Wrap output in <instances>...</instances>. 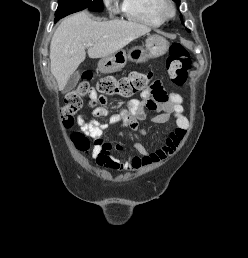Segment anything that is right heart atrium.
Segmentation results:
<instances>
[{
    "instance_id": "obj_1",
    "label": "right heart atrium",
    "mask_w": 248,
    "mask_h": 258,
    "mask_svg": "<svg viewBox=\"0 0 248 258\" xmlns=\"http://www.w3.org/2000/svg\"><path fill=\"white\" fill-rule=\"evenodd\" d=\"M104 4L106 5L107 9L114 13L117 10V0H103Z\"/></svg>"
}]
</instances>
